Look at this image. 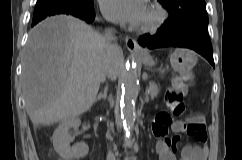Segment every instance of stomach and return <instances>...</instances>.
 I'll list each match as a JSON object with an SVG mask.
<instances>
[{
    "label": "stomach",
    "instance_id": "0dacf381",
    "mask_svg": "<svg viewBox=\"0 0 242 160\" xmlns=\"http://www.w3.org/2000/svg\"><path fill=\"white\" fill-rule=\"evenodd\" d=\"M139 58L148 67H152L155 64L149 55L140 56ZM196 62V54L189 49L177 48L170 55V63L173 69L180 74H186L190 72Z\"/></svg>",
    "mask_w": 242,
    "mask_h": 160
}]
</instances>
